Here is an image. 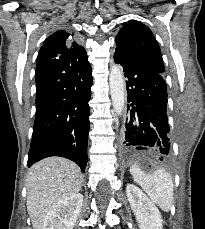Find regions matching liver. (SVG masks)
Instances as JSON below:
<instances>
[{
	"label": "liver",
	"instance_id": "obj_1",
	"mask_svg": "<svg viewBox=\"0 0 205 229\" xmlns=\"http://www.w3.org/2000/svg\"><path fill=\"white\" fill-rule=\"evenodd\" d=\"M81 184L80 168L68 159L49 157L35 163L26 180V205L33 229H42L51 207L59 200L77 194Z\"/></svg>",
	"mask_w": 205,
	"mask_h": 229
}]
</instances>
